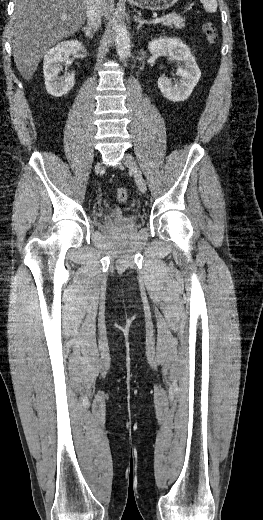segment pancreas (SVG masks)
Masks as SVG:
<instances>
[{
  "label": "pancreas",
  "mask_w": 263,
  "mask_h": 520,
  "mask_svg": "<svg viewBox=\"0 0 263 520\" xmlns=\"http://www.w3.org/2000/svg\"><path fill=\"white\" fill-rule=\"evenodd\" d=\"M160 23L163 26H168L170 28L175 27L176 29H182L185 27V18L180 15H177L176 13H171L167 16L162 17Z\"/></svg>",
  "instance_id": "1"
}]
</instances>
